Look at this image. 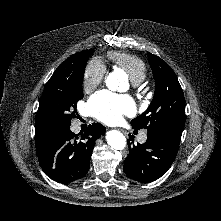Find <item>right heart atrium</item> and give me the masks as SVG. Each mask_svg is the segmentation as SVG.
Here are the masks:
<instances>
[{
	"label": "right heart atrium",
	"mask_w": 221,
	"mask_h": 221,
	"mask_svg": "<svg viewBox=\"0 0 221 221\" xmlns=\"http://www.w3.org/2000/svg\"><path fill=\"white\" fill-rule=\"evenodd\" d=\"M106 69L101 60L93 58L86 64L82 75V86L86 92L93 91L104 80Z\"/></svg>",
	"instance_id": "d8ad5b80"
}]
</instances>
